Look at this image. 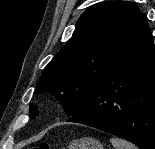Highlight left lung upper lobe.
Listing matches in <instances>:
<instances>
[{
  "label": "left lung upper lobe",
  "instance_id": "5c2ea615",
  "mask_svg": "<svg viewBox=\"0 0 155 149\" xmlns=\"http://www.w3.org/2000/svg\"><path fill=\"white\" fill-rule=\"evenodd\" d=\"M144 15L136 4L107 1L87 9L70 40L43 71L34 93H49L73 116L92 88L107 72ZM30 105V118L38 113Z\"/></svg>",
  "mask_w": 155,
  "mask_h": 149
}]
</instances>
